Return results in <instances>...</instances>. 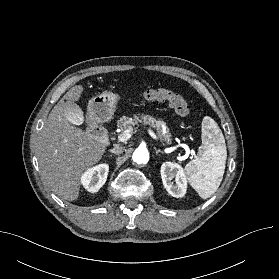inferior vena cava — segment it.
Returning a JSON list of instances; mask_svg holds the SVG:
<instances>
[{
  "mask_svg": "<svg viewBox=\"0 0 279 279\" xmlns=\"http://www.w3.org/2000/svg\"><path fill=\"white\" fill-rule=\"evenodd\" d=\"M124 151V148L119 146V145H116L113 149H110V152L113 153V154H122Z\"/></svg>",
  "mask_w": 279,
  "mask_h": 279,
  "instance_id": "602c4592",
  "label": "inferior vena cava"
}]
</instances>
